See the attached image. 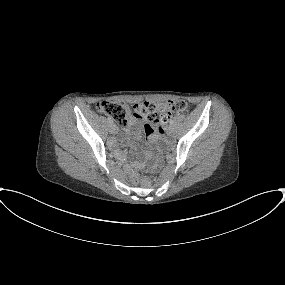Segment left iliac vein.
<instances>
[{
  "label": "left iliac vein",
  "mask_w": 285,
  "mask_h": 285,
  "mask_svg": "<svg viewBox=\"0 0 285 285\" xmlns=\"http://www.w3.org/2000/svg\"><path fill=\"white\" fill-rule=\"evenodd\" d=\"M166 133L169 136H173L174 135V129H173V127L171 125L166 128Z\"/></svg>",
  "instance_id": "1"
}]
</instances>
